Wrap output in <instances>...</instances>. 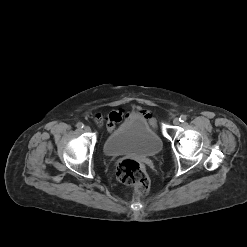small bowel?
<instances>
[{
    "mask_svg": "<svg viewBox=\"0 0 247 247\" xmlns=\"http://www.w3.org/2000/svg\"><path fill=\"white\" fill-rule=\"evenodd\" d=\"M139 113L142 114L146 119H148V121L150 122L152 126H155L156 120L155 118H153V116L149 112L140 111ZM123 116H124L123 111H113L109 113L107 117L108 131L113 132L115 130V124L120 122Z\"/></svg>",
    "mask_w": 247,
    "mask_h": 247,
    "instance_id": "obj_1",
    "label": "small bowel"
}]
</instances>
